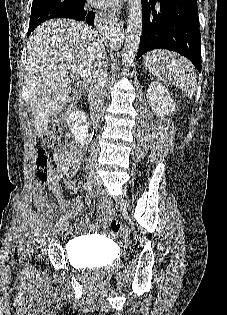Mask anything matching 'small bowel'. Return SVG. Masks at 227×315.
<instances>
[{
  "label": "small bowel",
  "instance_id": "1",
  "mask_svg": "<svg viewBox=\"0 0 227 315\" xmlns=\"http://www.w3.org/2000/svg\"><path fill=\"white\" fill-rule=\"evenodd\" d=\"M82 158L81 150L77 145H73L66 153H57L53 160L56 164V173L52 175L49 181V187L58 201L65 206L67 214L78 213L82 210L81 203L75 199L73 202H67L64 199L60 189V181L64 177L71 174V168L76 167ZM33 196L37 205L47 212H52L55 209V204L48 201L44 193L43 186L35 183L33 185ZM96 207L102 212L104 219L109 220L113 214V207L107 201H99Z\"/></svg>",
  "mask_w": 227,
  "mask_h": 315
}]
</instances>
